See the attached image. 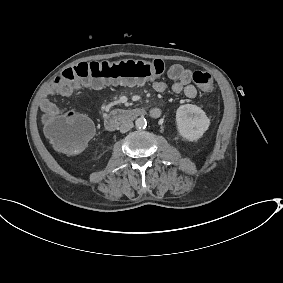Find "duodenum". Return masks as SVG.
Wrapping results in <instances>:
<instances>
[{
  "mask_svg": "<svg viewBox=\"0 0 283 283\" xmlns=\"http://www.w3.org/2000/svg\"><path fill=\"white\" fill-rule=\"evenodd\" d=\"M144 115V109L139 107L127 110H114L105 118L104 126L108 131H115L121 124Z\"/></svg>",
  "mask_w": 283,
  "mask_h": 283,
  "instance_id": "410a0bca",
  "label": "duodenum"
}]
</instances>
